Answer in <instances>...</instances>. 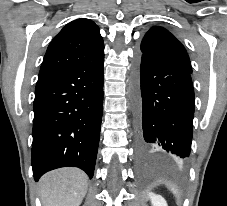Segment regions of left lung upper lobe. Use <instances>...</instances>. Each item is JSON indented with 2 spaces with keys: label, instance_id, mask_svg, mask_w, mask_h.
Listing matches in <instances>:
<instances>
[{
  "label": "left lung upper lobe",
  "instance_id": "5c2ea615",
  "mask_svg": "<svg viewBox=\"0 0 227 206\" xmlns=\"http://www.w3.org/2000/svg\"><path fill=\"white\" fill-rule=\"evenodd\" d=\"M139 54L176 65L192 72L189 56L182 43L163 27H152L144 36Z\"/></svg>",
  "mask_w": 227,
  "mask_h": 206
}]
</instances>
